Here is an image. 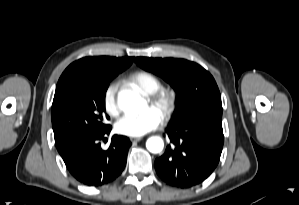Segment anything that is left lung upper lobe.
Segmentation results:
<instances>
[{
    "mask_svg": "<svg viewBox=\"0 0 299 205\" xmlns=\"http://www.w3.org/2000/svg\"><path fill=\"white\" fill-rule=\"evenodd\" d=\"M146 71L167 81L177 92L172 124L222 116L221 95L212 75L197 63L184 59L137 57Z\"/></svg>",
    "mask_w": 299,
    "mask_h": 205,
    "instance_id": "left-lung-upper-lobe-1",
    "label": "left lung upper lobe"
}]
</instances>
